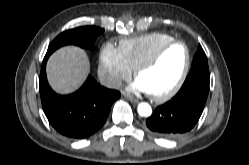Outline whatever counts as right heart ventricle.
<instances>
[{
	"label": "right heart ventricle",
	"instance_id": "1",
	"mask_svg": "<svg viewBox=\"0 0 249 165\" xmlns=\"http://www.w3.org/2000/svg\"><path fill=\"white\" fill-rule=\"evenodd\" d=\"M174 40V37L162 32H152L131 39L122 40L119 50L125 62L131 70L148 57H150L160 46Z\"/></svg>",
	"mask_w": 249,
	"mask_h": 165
}]
</instances>
